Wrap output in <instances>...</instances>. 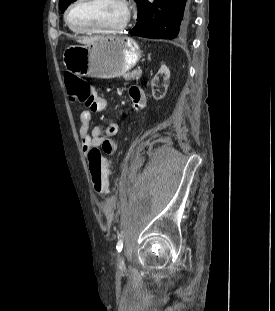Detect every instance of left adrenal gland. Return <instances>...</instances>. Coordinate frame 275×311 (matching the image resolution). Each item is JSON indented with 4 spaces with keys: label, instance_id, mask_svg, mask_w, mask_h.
<instances>
[{
    "label": "left adrenal gland",
    "instance_id": "1",
    "mask_svg": "<svg viewBox=\"0 0 275 311\" xmlns=\"http://www.w3.org/2000/svg\"><path fill=\"white\" fill-rule=\"evenodd\" d=\"M148 59H150V54L148 55Z\"/></svg>",
    "mask_w": 275,
    "mask_h": 311
}]
</instances>
